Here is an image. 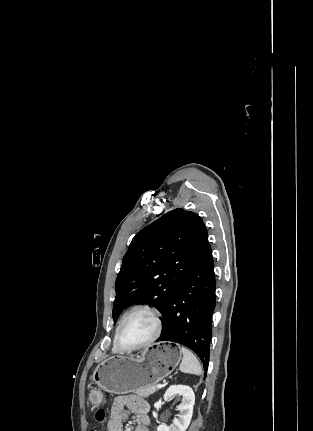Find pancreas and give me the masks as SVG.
Here are the masks:
<instances>
[{
    "instance_id": "cf45deb5",
    "label": "pancreas",
    "mask_w": 313,
    "mask_h": 431,
    "mask_svg": "<svg viewBox=\"0 0 313 431\" xmlns=\"http://www.w3.org/2000/svg\"><path fill=\"white\" fill-rule=\"evenodd\" d=\"M156 391H157V388L154 385H148L143 388H139L138 390L135 391V393L138 394L139 396L146 398Z\"/></svg>"
}]
</instances>
